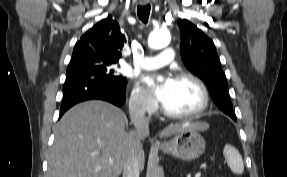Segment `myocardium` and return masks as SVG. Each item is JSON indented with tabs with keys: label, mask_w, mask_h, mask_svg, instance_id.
<instances>
[{
	"label": "myocardium",
	"mask_w": 287,
	"mask_h": 177,
	"mask_svg": "<svg viewBox=\"0 0 287 177\" xmlns=\"http://www.w3.org/2000/svg\"><path fill=\"white\" fill-rule=\"evenodd\" d=\"M175 80L176 81H189V82H192L193 84H195L201 93V97H202L201 104L195 111L189 112V113L171 112V111L167 110L164 107V105L162 104L161 105L162 113L165 116H167L169 118H173V119L195 118V117H198L199 115H201L208 108L209 103H210V94H209V91H208L206 85L204 84V82L200 78H198L197 76L190 74V73H186V72L179 73L176 76Z\"/></svg>",
	"instance_id": "obj_1"
}]
</instances>
